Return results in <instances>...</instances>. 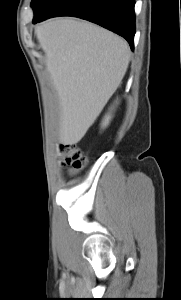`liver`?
<instances>
[{"instance_id": "6515ba94", "label": "liver", "mask_w": 181, "mask_h": 300, "mask_svg": "<svg viewBox=\"0 0 181 300\" xmlns=\"http://www.w3.org/2000/svg\"><path fill=\"white\" fill-rule=\"evenodd\" d=\"M46 67L60 101V137L78 143L120 85L130 49L120 36L71 18L36 27Z\"/></svg>"}]
</instances>
